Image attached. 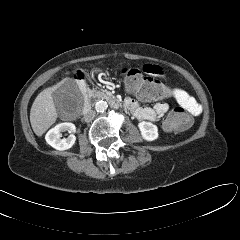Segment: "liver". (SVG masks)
Returning <instances> with one entry per match:
<instances>
[{
  "instance_id": "1",
  "label": "liver",
  "mask_w": 240,
  "mask_h": 240,
  "mask_svg": "<svg viewBox=\"0 0 240 240\" xmlns=\"http://www.w3.org/2000/svg\"><path fill=\"white\" fill-rule=\"evenodd\" d=\"M67 81H69V78H65L56 85L41 91L34 100L30 110V122L37 136H42L56 122L57 112L52 93Z\"/></svg>"
}]
</instances>
